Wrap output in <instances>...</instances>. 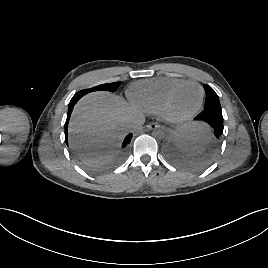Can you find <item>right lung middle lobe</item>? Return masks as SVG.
Returning <instances> with one entry per match:
<instances>
[{"mask_svg":"<svg viewBox=\"0 0 268 268\" xmlns=\"http://www.w3.org/2000/svg\"><path fill=\"white\" fill-rule=\"evenodd\" d=\"M119 86H120V82L101 84V85L95 86V87L90 88V89L81 90V91L77 92L75 95L82 97V96L86 95L87 93H90L93 91L115 92Z\"/></svg>","mask_w":268,"mask_h":268,"instance_id":"right-lung-middle-lobe-1","label":"right lung middle lobe"}]
</instances>
